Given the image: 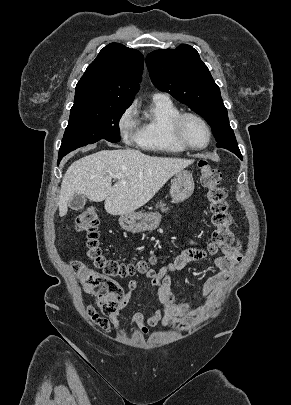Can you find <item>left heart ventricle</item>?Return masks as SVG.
I'll return each mask as SVG.
<instances>
[{
    "label": "left heart ventricle",
    "instance_id": "1",
    "mask_svg": "<svg viewBox=\"0 0 291 405\" xmlns=\"http://www.w3.org/2000/svg\"><path fill=\"white\" fill-rule=\"evenodd\" d=\"M185 138L194 146H203L207 142V132L195 119H187L184 125Z\"/></svg>",
    "mask_w": 291,
    "mask_h": 405
}]
</instances>
